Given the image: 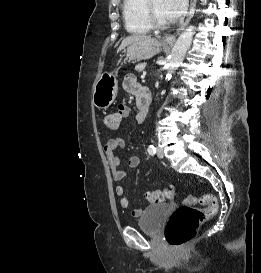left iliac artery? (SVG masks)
Wrapping results in <instances>:
<instances>
[{
	"label": "left iliac artery",
	"instance_id": "44dca946",
	"mask_svg": "<svg viewBox=\"0 0 261 273\" xmlns=\"http://www.w3.org/2000/svg\"><path fill=\"white\" fill-rule=\"evenodd\" d=\"M149 155H154L156 153V148L153 145H150L147 149Z\"/></svg>",
	"mask_w": 261,
	"mask_h": 273
}]
</instances>
